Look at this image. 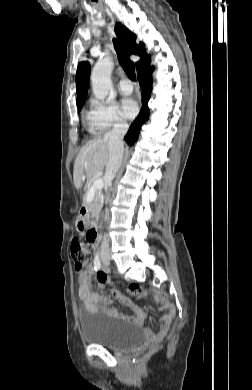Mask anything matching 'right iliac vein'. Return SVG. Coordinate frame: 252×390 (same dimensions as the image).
<instances>
[{
	"mask_svg": "<svg viewBox=\"0 0 252 390\" xmlns=\"http://www.w3.org/2000/svg\"><path fill=\"white\" fill-rule=\"evenodd\" d=\"M103 260H104V261H108V260H109V258H108V257H106V256H104V257H103Z\"/></svg>",
	"mask_w": 252,
	"mask_h": 390,
	"instance_id": "1",
	"label": "right iliac vein"
}]
</instances>
